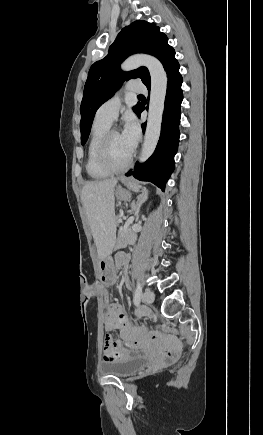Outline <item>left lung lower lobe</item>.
Segmentation results:
<instances>
[{
	"label": "left lung lower lobe",
	"mask_w": 263,
	"mask_h": 435,
	"mask_svg": "<svg viewBox=\"0 0 263 435\" xmlns=\"http://www.w3.org/2000/svg\"><path fill=\"white\" fill-rule=\"evenodd\" d=\"M166 73L168 76L167 94L157 147L154 154L144 164H136L134 170L126 173V176H133L141 181H150L162 191L165 190V184L174 170V155L180 136V106L183 100L182 76L179 73V63L176 59L166 69ZM147 88L150 89V85ZM144 109L145 107L142 106L138 116ZM145 127L146 123H143V131Z\"/></svg>",
	"instance_id": "obj_1"
}]
</instances>
